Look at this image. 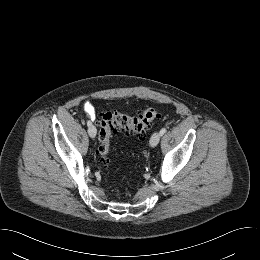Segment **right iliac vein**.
<instances>
[{"label": "right iliac vein", "mask_w": 260, "mask_h": 260, "mask_svg": "<svg viewBox=\"0 0 260 260\" xmlns=\"http://www.w3.org/2000/svg\"><path fill=\"white\" fill-rule=\"evenodd\" d=\"M97 130L95 128V126L91 125L88 128V134L91 138H94L96 136Z\"/></svg>", "instance_id": "obj_1"}]
</instances>
